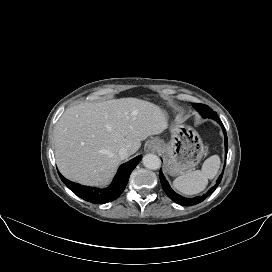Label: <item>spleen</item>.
I'll return each mask as SVG.
<instances>
[{"label":"spleen","mask_w":272,"mask_h":272,"mask_svg":"<svg viewBox=\"0 0 272 272\" xmlns=\"http://www.w3.org/2000/svg\"><path fill=\"white\" fill-rule=\"evenodd\" d=\"M220 158L213 155L207 158L202 170H196L177 177L173 181L176 190L185 195H194L203 191L208 184V179H213L218 172Z\"/></svg>","instance_id":"obj_1"}]
</instances>
